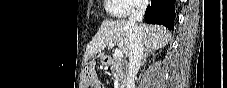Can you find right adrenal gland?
Returning <instances> with one entry per match:
<instances>
[{
  "label": "right adrenal gland",
  "mask_w": 227,
  "mask_h": 88,
  "mask_svg": "<svg viewBox=\"0 0 227 88\" xmlns=\"http://www.w3.org/2000/svg\"><path fill=\"white\" fill-rule=\"evenodd\" d=\"M152 55L154 58H155V53L153 50H150V49H145L144 50V54H143V57H142V62H141V65L143 66L144 63L146 62V59Z\"/></svg>",
  "instance_id": "obj_1"
}]
</instances>
